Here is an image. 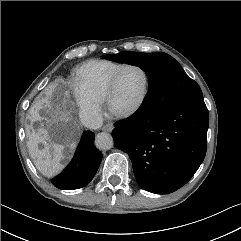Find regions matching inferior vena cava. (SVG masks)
Instances as JSON below:
<instances>
[{
  "label": "inferior vena cava",
  "instance_id": "602c4592",
  "mask_svg": "<svg viewBox=\"0 0 241 241\" xmlns=\"http://www.w3.org/2000/svg\"><path fill=\"white\" fill-rule=\"evenodd\" d=\"M82 123L86 127L96 129L102 124V118L94 113H89L82 119Z\"/></svg>",
  "mask_w": 241,
  "mask_h": 241
}]
</instances>
